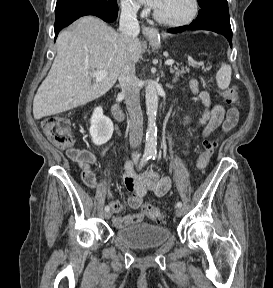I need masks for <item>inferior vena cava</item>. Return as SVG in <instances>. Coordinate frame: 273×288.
I'll return each instance as SVG.
<instances>
[{
	"label": "inferior vena cava",
	"instance_id": "602c4592",
	"mask_svg": "<svg viewBox=\"0 0 273 288\" xmlns=\"http://www.w3.org/2000/svg\"><path fill=\"white\" fill-rule=\"evenodd\" d=\"M137 9L132 6L122 8L119 30L126 36L129 50L132 51V42L140 32L137 20ZM122 93L125 96L126 107L130 116L129 141L132 148L139 147L143 136V116L140 107V89L135 75V65L131 58L127 59L124 68L118 77Z\"/></svg>",
	"mask_w": 273,
	"mask_h": 288
}]
</instances>
